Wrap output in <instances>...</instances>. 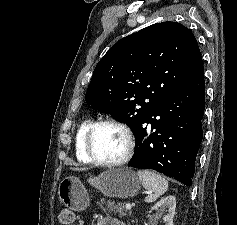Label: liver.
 Segmentation results:
<instances>
[{
  "instance_id": "6515ba94",
  "label": "liver",
  "mask_w": 237,
  "mask_h": 225,
  "mask_svg": "<svg viewBox=\"0 0 237 225\" xmlns=\"http://www.w3.org/2000/svg\"><path fill=\"white\" fill-rule=\"evenodd\" d=\"M73 171H85V168H71Z\"/></svg>"
}]
</instances>
